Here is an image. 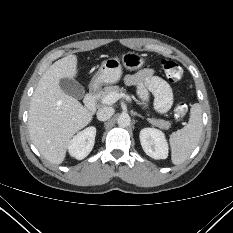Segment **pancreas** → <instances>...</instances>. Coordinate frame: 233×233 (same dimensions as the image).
I'll return each mask as SVG.
<instances>
[{"instance_id":"pancreas-1","label":"pancreas","mask_w":233,"mask_h":233,"mask_svg":"<svg viewBox=\"0 0 233 233\" xmlns=\"http://www.w3.org/2000/svg\"><path fill=\"white\" fill-rule=\"evenodd\" d=\"M123 91H124V88H120L118 86H108V87H105L104 91L101 92L100 98L102 100L105 96L109 95L110 93H122ZM148 121L152 125L158 128H161V129H165V130L169 129L171 126L170 122L162 120V119L148 118Z\"/></svg>"}]
</instances>
